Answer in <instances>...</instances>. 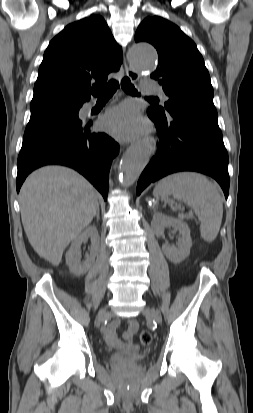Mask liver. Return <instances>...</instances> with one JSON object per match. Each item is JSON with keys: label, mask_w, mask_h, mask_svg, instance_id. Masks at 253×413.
Returning <instances> with one entry per match:
<instances>
[{"label": "liver", "mask_w": 253, "mask_h": 413, "mask_svg": "<svg viewBox=\"0 0 253 413\" xmlns=\"http://www.w3.org/2000/svg\"><path fill=\"white\" fill-rule=\"evenodd\" d=\"M19 197L29 243L54 266L99 207L95 188L76 171L62 166H45L31 173Z\"/></svg>", "instance_id": "obj_1"}]
</instances>
